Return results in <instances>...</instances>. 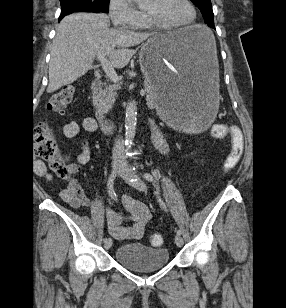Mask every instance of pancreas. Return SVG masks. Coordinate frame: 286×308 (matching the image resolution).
Segmentation results:
<instances>
[{
	"label": "pancreas",
	"instance_id": "obj_1",
	"mask_svg": "<svg viewBox=\"0 0 286 308\" xmlns=\"http://www.w3.org/2000/svg\"><path fill=\"white\" fill-rule=\"evenodd\" d=\"M119 86L116 84L108 85L104 90H101L97 95L93 97L94 107L97 109L98 114H105L112 109L117 97V90ZM145 90L147 93L146 101L149 107L153 108L157 106L155 102V92L152 86L145 81Z\"/></svg>",
	"mask_w": 286,
	"mask_h": 308
}]
</instances>
